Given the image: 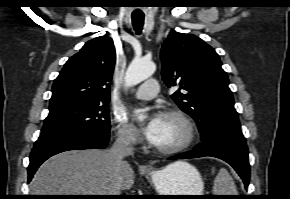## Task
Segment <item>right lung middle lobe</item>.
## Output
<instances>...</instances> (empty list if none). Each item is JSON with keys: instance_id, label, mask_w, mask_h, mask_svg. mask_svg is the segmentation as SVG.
<instances>
[{"instance_id": "1", "label": "right lung middle lobe", "mask_w": 290, "mask_h": 199, "mask_svg": "<svg viewBox=\"0 0 290 199\" xmlns=\"http://www.w3.org/2000/svg\"><path fill=\"white\" fill-rule=\"evenodd\" d=\"M90 131L109 133L108 103L76 104L50 111L39 139Z\"/></svg>"}]
</instances>
